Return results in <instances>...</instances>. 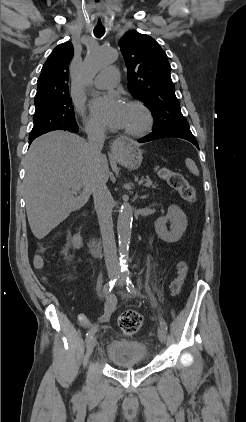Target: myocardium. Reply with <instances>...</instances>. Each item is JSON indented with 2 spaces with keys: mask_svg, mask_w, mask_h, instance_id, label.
Returning <instances> with one entry per match:
<instances>
[{
  "mask_svg": "<svg viewBox=\"0 0 246 422\" xmlns=\"http://www.w3.org/2000/svg\"><path fill=\"white\" fill-rule=\"evenodd\" d=\"M128 106L136 108L140 111L143 117V122L138 128L124 129L123 133L130 137H141L148 134L154 124V118L150 108L145 103L139 100L129 101Z\"/></svg>",
  "mask_w": 246,
  "mask_h": 422,
  "instance_id": "f54148a6",
  "label": "myocardium"
}]
</instances>
